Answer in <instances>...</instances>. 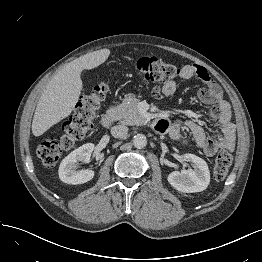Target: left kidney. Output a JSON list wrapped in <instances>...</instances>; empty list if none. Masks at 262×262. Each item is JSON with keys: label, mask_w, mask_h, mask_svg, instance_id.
I'll return each mask as SVG.
<instances>
[{"label": "left kidney", "mask_w": 262, "mask_h": 262, "mask_svg": "<svg viewBox=\"0 0 262 262\" xmlns=\"http://www.w3.org/2000/svg\"><path fill=\"white\" fill-rule=\"evenodd\" d=\"M185 161L191 163L192 168L174 171L168 175V182L176 190L184 193H195L205 190L210 183V172L207 163L194 154H184Z\"/></svg>", "instance_id": "1"}]
</instances>
